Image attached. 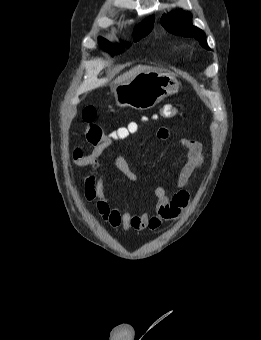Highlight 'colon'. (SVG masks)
I'll use <instances>...</instances> for the list:
<instances>
[{"instance_id": "5ec220e1", "label": "colon", "mask_w": 261, "mask_h": 340, "mask_svg": "<svg viewBox=\"0 0 261 340\" xmlns=\"http://www.w3.org/2000/svg\"><path fill=\"white\" fill-rule=\"evenodd\" d=\"M181 114V107L172 104H165L160 110V116L164 119H172ZM96 109L93 106H86L82 110V120L85 124V136L89 143L98 145L103 142L106 135L102 127L96 123Z\"/></svg>"}]
</instances>
